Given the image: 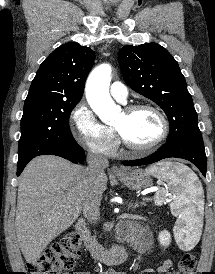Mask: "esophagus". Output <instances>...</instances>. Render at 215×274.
Instances as JSON below:
<instances>
[{
  "label": "esophagus",
  "mask_w": 215,
  "mask_h": 274,
  "mask_svg": "<svg viewBox=\"0 0 215 274\" xmlns=\"http://www.w3.org/2000/svg\"><path fill=\"white\" fill-rule=\"evenodd\" d=\"M112 172H113L115 175H121V174L124 173V170H123L121 167H119V166H117V165H114V166L112 167Z\"/></svg>",
  "instance_id": "1"
}]
</instances>
